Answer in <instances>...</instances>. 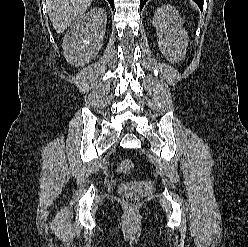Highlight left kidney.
Here are the masks:
<instances>
[{
	"instance_id": "obj_1",
	"label": "left kidney",
	"mask_w": 248,
	"mask_h": 247,
	"mask_svg": "<svg viewBox=\"0 0 248 247\" xmlns=\"http://www.w3.org/2000/svg\"><path fill=\"white\" fill-rule=\"evenodd\" d=\"M153 24L159 38L161 53L171 63L181 61L186 54L189 37L182 28L183 21L178 11L165 5L157 9L153 17Z\"/></svg>"
}]
</instances>
